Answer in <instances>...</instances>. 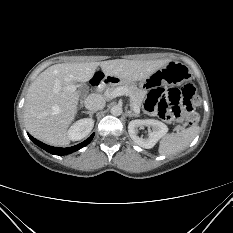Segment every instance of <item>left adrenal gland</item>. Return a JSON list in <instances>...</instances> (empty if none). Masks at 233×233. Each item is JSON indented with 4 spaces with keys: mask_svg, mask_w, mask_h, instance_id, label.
I'll return each mask as SVG.
<instances>
[{
    "mask_svg": "<svg viewBox=\"0 0 233 233\" xmlns=\"http://www.w3.org/2000/svg\"><path fill=\"white\" fill-rule=\"evenodd\" d=\"M128 117H138L137 114L133 113L132 111H127Z\"/></svg>",
    "mask_w": 233,
    "mask_h": 233,
    "instance_id": "a2214340",
    "label": "left adrenal gland"
}]
</instances>
